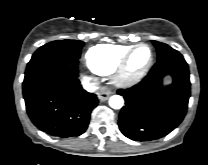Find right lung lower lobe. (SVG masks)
<instances>
[{"mask_svg": "<svg viewBox=\"0 0 208 165\" xmlns=\"http://www.w3.org/2000/svg\"><path fill=\"white\" fill-rule=\"evenodd\" d=\"M77 64L78 58L58 51L27 65L23 81L27 113L36 127L50 135L65 138L84 133L99 102L82 88Z\"/></svg>", "mask_w": 208, "mask_h": 165, "instance_id": "right-lung-lower-lobe-1", "label": "right lung lower lobe"}]
</instances>
